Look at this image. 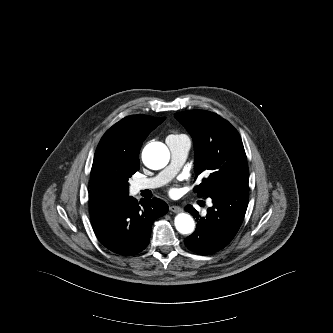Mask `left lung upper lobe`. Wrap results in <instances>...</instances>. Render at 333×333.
I'll return each mask as SVG.
<instances>
[{
  "instance_id": "left-lung-upper-lobe-1",
  "label": "left lung upper lobe",
  "mask_w": 333,
  "mask_h": 333,
  "mask_svg": "<svg viewBox=\"0 0 333 333\" xmlns=\"http://www.w3.org/2000/svg\"><path fill=\"white\" fill-rule=\"evenodd\" d=\"M175 117L193 138L196 174H208L194 188L198 197H209L224 189L248 187L245 150L238 132L229 122L204 110L176 113Z\"/></svg>"
}]
</instances>
